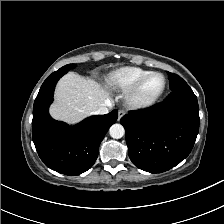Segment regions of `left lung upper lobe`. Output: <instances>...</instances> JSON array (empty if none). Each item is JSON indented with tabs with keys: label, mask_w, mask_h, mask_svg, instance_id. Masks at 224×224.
Returning <instances> with one entry per match:
<instances>
[{
	"label": "left lung upper lobe",
	"mask_w": 224,
	"mask_h": 224,
	"mask_svg": "<svg viewBox=\"0 0 224 224\" xmlns=\"http://www.w3.org/2000/svg\"><path fill=\"white\" fill-rule=\"evenodd\" d=\"M168 73V78L170 80V89L174 90L182 85L187 84L180 76L167 72Z\"/></svg>",
	"instance_id": "1"
}]
</instances>
